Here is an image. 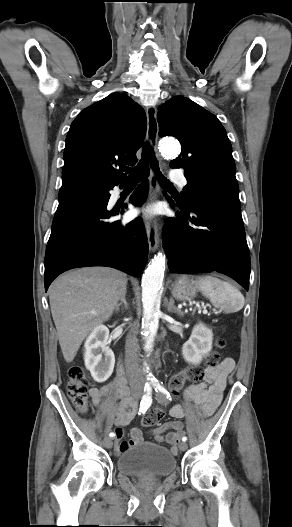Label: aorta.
I'll return each mask as SVG.
<instances>
[{
    "label": "aorta",
    "mask_w": 292,
    "mask_h": 527,
    "mask_svg": "<svg viewBox=\"0 0 292 527\" xmlns=\"http://www.w3.org/2000/svg\"><path fill=\"white\" fill-rule=\"evenodd\" d=\"M161 152L167 157H176L181 151L180 144L170 138L163 139L160 143ZM165 270V259L161 253L152 259L142 277V304L143 318L142 329L144 335V349L152 348L153 338L156 335L160 313V289Z\"/></svg>",
    "instance_id": "obj_1"
}]
</instances>
